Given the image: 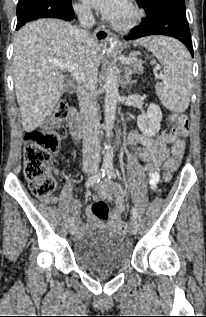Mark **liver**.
I'll return each mask as SVG.
<instances>
[{
  "label": "liver",
  "mask_w": 206,
  "mask_h": 317,
  "mask_svg": "<svg viewBox=\"0 0 206 317\" xmlns=\"http://www.w3.org/2000/svg\"><path fill=\"white\" fill-rule=\"evenodd\" d=\"M78 29L57 19H41L22 27L14 44L12 75L22 127L31 132L57 106L65 89L64 76L50 59H64L82 72L85 56L77 40ZM97 64L99 45L93 40Z\"/></svg>",
  "instance_id": "obj_1"
}]
</instances>
